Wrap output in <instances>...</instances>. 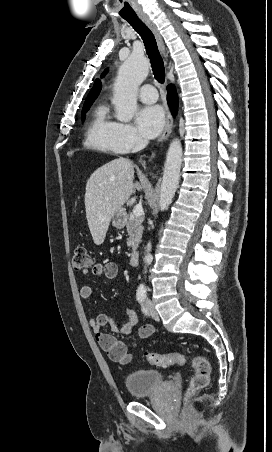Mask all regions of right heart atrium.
<instances>
[{"label": "right heart atrium", "mask_w": 272, "mask_h": 452, "mask_svg": "<svg viewBox=\"0 0 272 452\" xmlns=\"http://www.w3.org/2000/svg\"><path fill=\"white\" fill-rule=\"evenodd\" d=\"M117 145L121 152H129L143 144L138 130L130 124H119L116 132Z\"/></svg>", "instance_id": "right-heart-atrium-1"}]
</instances>
